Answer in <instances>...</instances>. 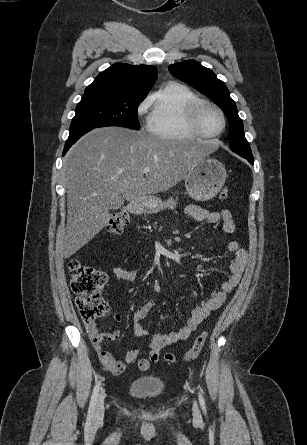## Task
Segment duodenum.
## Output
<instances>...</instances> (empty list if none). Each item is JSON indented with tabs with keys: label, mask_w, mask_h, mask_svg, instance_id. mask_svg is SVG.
<instances>
[{
	"label": "duodenum",
	"mask_w": 307,
	"mask_h": 445,
	"mask_svg": "<svg viewBox=\"0 0 307 445\" xmlns=\"http://www.w3.org/2000/svg\"><path fill=\"white\" fill-rule=\"evenodd\" d=\"M144 205H145V199L138 198L130 203L128 210L134 214L140 213L143 210Z\"/></svg>",
	"instance_id": "1"
}]
</instances>
